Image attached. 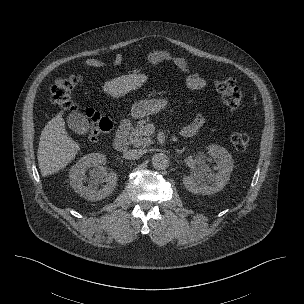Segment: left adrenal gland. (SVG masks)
<instances>
[{"label": "left adrenal gland", "mask_w": 304, "mask_h": 304, "mask_svg": "<svg viewBox=\"0 0 304 304\" xmlns=\"http://www.w3.org/2000/svg\"><path fill=\"white\" fill-rule=\"evenodd\" d=\"M184 151H185V148H183L182 150L177 149V153H183Z\"/></svg>", "instance_id": "a2214340"}]
</instances>
